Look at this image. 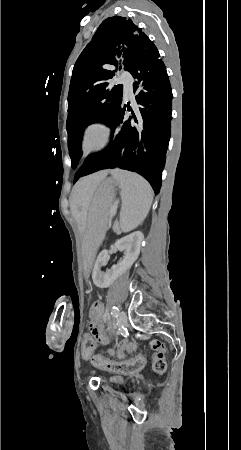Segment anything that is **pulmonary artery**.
Listing matches in <instances>:
<instances>
[{"label": "pulmonary artery", "mask_w": 241, "mask_h": 450, "mask_svg": "<svg viewBox=\"0 0 241 450\" xmlns=\"http://www.w3.org/2000/svg\"><path fill=\"white\" fill-rule=\"evenodd\" d=\"M132 78V73L130 71H125L121 77V82L123 83L124 94L126 96H131L133 94L132 83L130 79Z\"/></svg>", "instance_id": "obj_1"}]
</instances>
